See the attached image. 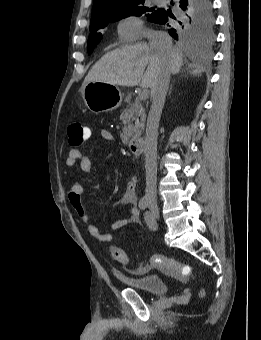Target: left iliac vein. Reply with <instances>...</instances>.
<instances>
[{"instance_id":"left-iliac-vein-1","label":"left iliac vein","mask_w":261,"mask_h":340,"mask_svg":"<svg viewBox=\"0 0 261 340\" xmlns=\"http://www.w3.org/2000/svg\"><path fill=\"white\" fill-rule=\"evenodd\" d=\"M152 217H153V225H152V229H156L157 228V223L156 220L159 218V211L158 209H153L152 210Z\"/></svg>"}]
</instances>
